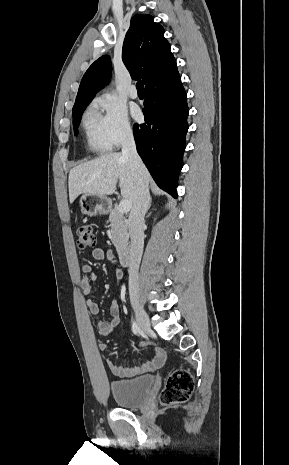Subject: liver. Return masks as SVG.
Instances as JSON below:
<instances>
[{
  "mask_svg": "<svg viewBox=\"0 0 289 465\" xmlns=\"http://www.w3.org/2000/svg\"><path fill=\"white\" fill-rule=\"evenodd\" d=\"M142 174L149 182L146 167ZM118 181L122 197L130 201L132 208L137 197L136 174L127 157L115 152L82 163L71 169L69 173L70 202L72 203L80 194L111 195L115 192Z\"/></svg>",
  "mask_w": 289,
  "mask_h": 465,
  "instance_id": "1",
  "label": "liver"
}]
</instances>
